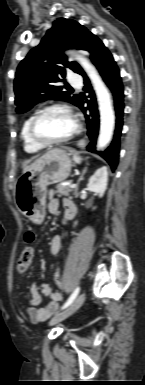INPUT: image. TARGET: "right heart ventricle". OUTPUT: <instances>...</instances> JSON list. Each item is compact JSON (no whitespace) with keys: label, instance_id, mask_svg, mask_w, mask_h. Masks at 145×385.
Listing matches in <instances>:
<instances>
[{"label":"right heart ventricle","instance_id":"right-heart-ventricle-1","mask_svg":"<svg viewBox=\"0 0 145 385\" xmlns=\"http://www.w3.org/2000/svg\"><path fill=\"white\" fill-rule=\"evenodd\" d=\"M34 115L35 113L31 114L26 118V120L23 122L21 133H20L24 150L27 153H37L42 149L41 147L35 145L29 137V125Z\"/></svg>","mask_w":145,"mask_h":385}]
</instances>
